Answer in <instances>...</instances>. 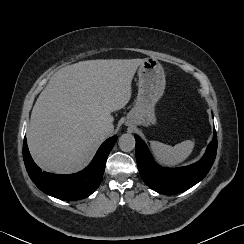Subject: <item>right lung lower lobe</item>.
I'll return each instance as SVG.
<instances>
[{"mask_svg": "<svg viewBox=\"0 0 244 244\" xmlns=\"http://www.w3.org/2000/svg\"><path fill=\"white\" fill-rule=\"evenodd\" d=\"M116 140V136L107 139L98 149L90 165L83 171L70 175H56L42 172L34 163L24 138V163L31 180L41 191L61 200H79L88 197L100 185L107 157Z\"/></svg>", "mask_w": 244, "mask_h": 244, "instance_id": "98d812e1", "label": "right lung lower lobe"}]
</instances>
